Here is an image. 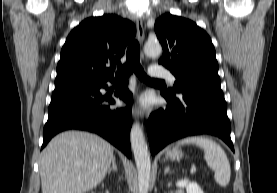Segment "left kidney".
Segmentation results:
<instances>
[{
  "mask_svg": "<svg viewBox=\"0 0 277 193\" xmlns=\"http://www.w3.org/2000/svg\"><path fill=\"white\" fill-rule=\"evenodd\" d=\"M178 187H185L187 193H204L196 182H190L188 179L178 180Z\"/></svg>",
  "mask_w": 277,
  "mask_h": 193,
  "instance_id": "left-kidney-1",
  "label": "left kidney"
}]
</instances>
